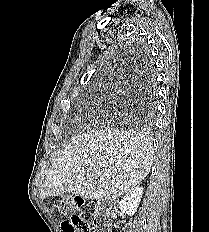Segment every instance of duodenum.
I'll return each mask as SVG.
<instances>
[{
    "mask_svg": "<svg viewBox=\"0 0 209 232\" xmlns=\"http://www.w3.org/2000/svg\"><path fill=\"white\" fill-rule=\"evenodd\" d=\"M95 215V231L106 232L109 227V221L107 218V207L103 202H97L94 209Z\"/></svg>",
    "mask_w": 209,
    "mask_h": 232,
    "instance_id": "1",
    "label": "duodenum"
}]
</instances>
